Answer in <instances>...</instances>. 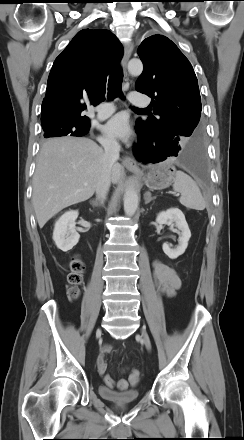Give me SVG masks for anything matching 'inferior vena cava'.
Wrapping results in <instances>:
<instances>
[{
	"instance_id": "1",
	"label": "inferior vena cava",
	"mask_w": 244,
	"mask_h": 440,
	"mask_svg": "<svg viewBox=\"0 0 244 440\" xmlns=\"http://www.w3.org/2000/svg\"><path fill=\"white\" fill-rule=\"evenodd\" d=\"M104 148V163L102 175L96 187L98 200L103 203L111 185V169L119 159L120 145L115 139H106L102 142Z\"/></svg>"
}]
</instances>
